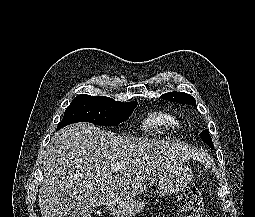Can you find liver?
Listing matches in <instances>:
<instances>
[{
  "label": "liver",
  "instance_id": "6515ba94",
  "mask_svg": "<svg viewBox=\"0 0 255 217\" xmlns=\"http://www.w3.org/2000/svg\"><path fill=\"white\" fill-rule=\"evenodd\" d=\"M194 156L182 143L122 137L87 123L66 126L46 146L42 217H67L79 203L101 206L132 199ZM114 164L122 166L119 172L111 169Z\"/></svg>",
  "mask_w": 255,
  "mask_h": 217
}]
</instances>
